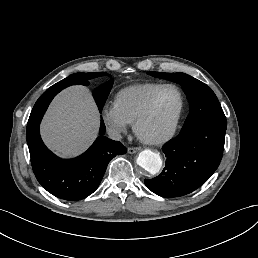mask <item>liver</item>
Returning a JSON list of instances; mask_svg holds the SVG:
<instances>
[{"label":"liver","instance_id":"6515ba94","mask_svg":"<svg viewBox=\"0 0 258 258\" xmlns=\"http://www.w3.org/2000/svg\"><path fill=\"white\" fill-rule=\"evenodd\" d=\"M99 111L89 89L76 85L52 101L40 126L44 143L62 157L77 156L96 139Z\"/></svg>","mask_w":258,"mask_h":258}]
</instances>
